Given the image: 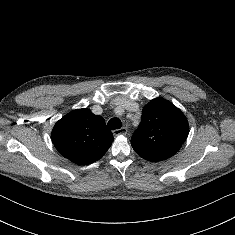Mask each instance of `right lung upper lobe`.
Wrapping results in <instances>:
<instances>
[{
  "label": "right lung upper lobe",
  "instance_id": "cb5924a9",
  "mask_svg": "<svg viewBox=\"0 0 235 235\" xmlns=\"http://www.w3.org/2000/svg\"><path fill=\"white\" fill-rule=\"evenodd\" d=\"M56 149L79 165L93 163L107 152L113 142L105 121L88 109H77L56 122L52 130Z\"/></svg>",
  "mask_w": 235,
  "mask_h": 235
}]
</instances>
